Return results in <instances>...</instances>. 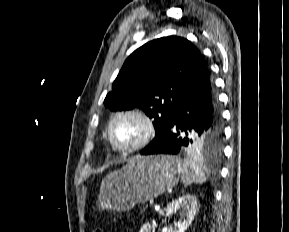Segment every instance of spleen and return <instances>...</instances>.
Returning a JSON list of instances; mask_svg holds the SVG:
<instances>
[{
    "mask_svg": "<svg viewBox=\"0 0 289 232\" xmlns=\"http://www.w3.org/2000/svg\"><path fill=\"white\" fill-rule=\"evenodd\" d=\"M178 170L181 173V180L183 183H199L202 184L206 181L205 174L199 163L192 159H185L179 163Z\"/></svg>",
    "mask_w": 289,
    "mask_h": 232,
    "instance_id": "3e777b00",
    "label": "spleen"
}]
</instances>
